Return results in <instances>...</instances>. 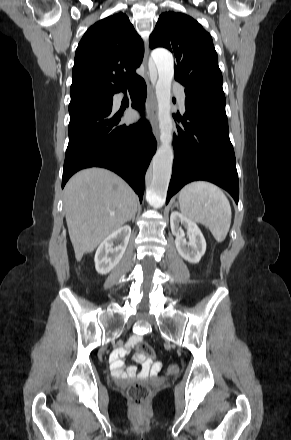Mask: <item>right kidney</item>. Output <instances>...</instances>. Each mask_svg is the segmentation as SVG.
Listing matches in <instances>:
<instances>
[{"mask_svg":"<svg viewBox=\"0 0 291 440\" xmlns=\"http://www.w3.org/2000/svg\"><path fill=\"white\" fill-rule=\"evenodd\" d=\"M131 235V227H120L106 237L97 248L95 253V268L99 274L109 273L121 260L127 248ZM120 242L113 248L114 242Z\"/></svg>","mask_w":291,"mask_h":440,"instance_id":"ca27d5eb","label":"right kidney"}]
</instances>
